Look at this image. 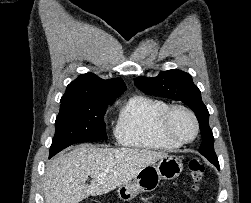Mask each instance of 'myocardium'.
Wrapping results in <instances>:
<instances>
[{
  "label": "myocardium",
  "mask_w": 251,
  "mask_h": 203,
  "mask_svg": "<svg viewBox=\"0 0 251 203\" xmlns=\"http://www.w3.org/2000/svg\"><path fill=\"white\" fill-rule=\"evenodd\" d=\"M176 110H182V111L186 112L192 118V120L194 122L195 132L190 139H181V138L177 137L170 129V120H171L172 114ZM158 128H159V132L161 133V135L163 137H165L166 139H168L176 144H179V145H185V144L192 143L197 138L199 131H200V124H199V120H198L196 114L190 108H188L184 105H181V104H174V105L168 106L163 111V113L161 114V116L159 118Z\"/></svg>",
  "instance_id": "f54148a6"
}]
</instances>
